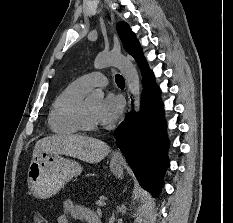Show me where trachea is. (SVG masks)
Wrapping results in <instances>:
<instances>
[{"mask_svg": "<svg viewBox=\"0 0 233 223\" xmlns=\"http://www.w3.org/2000/svg\"><path fill=\"white\" fill-rule=\"evenodd\" d=\"M115 82L117 84H124V78L122 77V75H116Z\"/></svg>", "mask_w": 233, "mask_h": 223, "instance_id": "1", "label": "trachea"}]
</instances>
